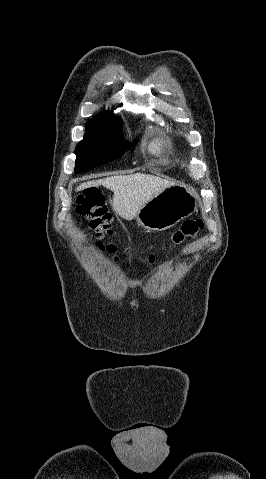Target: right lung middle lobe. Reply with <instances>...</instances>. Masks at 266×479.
I'll return each mask as SVG.
<instances>
[{
	"label": "right lung middle lobe",
	"instance_id": "dd1d6c3e",
	"mask_svg": "<svg viewBox=\"0 0 266 479\" xmlns=\"http://www.w3.org/2000/svg\"><path fill=\"white\" fill-rule=\"evenodd\" d=\"M120 123L114 121H89L84 139L75 149V171L84 172L119 158L126 150Z\"/></svg>",
	"mask_w": 266,
	"mask_h": 479
}]
</instances>
